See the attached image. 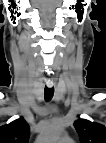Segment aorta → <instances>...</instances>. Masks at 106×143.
<instances>
[{"instance_id": "1", "label": "aorta", "mask_w": 106, "mask_h": 143, "mask_svg": "<svg viewBox=\"0 0 106 143\" xmlns=\"http://www.w3.org/2000/svg\"><path fill=\"white\" fill-rule=\"evenodd\" d=\"M62 132V126L58 123L50 124L42 134V140L44 142L56 141Z\"/></svg>"}]
</instances>
